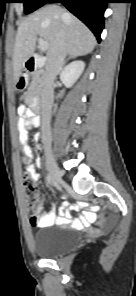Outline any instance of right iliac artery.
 I'll use <instances>...</instances> for the list:
<instances>
[{
	"label": "right iliac artery",
	"mask_w": 136,
	"mask_h": 296,
	"mask_svg": "<svg viewBox=\"0 0 136 296\" xmlns=\"http://www.w3.org/2000/svg\"><path fill=\"white\" fill-rule=\"evenodd\" d=\"M46 179H47L48 184H51L52 183V179H51V177H50L49 174L47 175V178Z\"/></svg>",
	"instance_id": "1"
}]
</instances>
